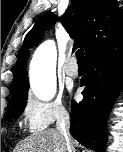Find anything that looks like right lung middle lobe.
Masks as SVG:
<instances>
[{
    "label": "right lung middle lobe",
    "instance_id": "dd1d6c3e",
    "mask_svg": "<svg viewBox=\"0 0 123 152\" xmlns=\"http://www.w3.org/2000/svg\"><path fill=\"white\" fill-rule=\"evenodd\" d=\"M29 86L19 89L12 93L11 101L9 104L8 111L6 113V120L17 118L18 115L24 111L27 104V92Z\"/></svg>",
    "mask_w": 123,
    "mask_h": 152
}]
</instances>
